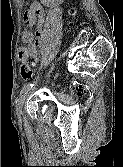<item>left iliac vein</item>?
I'll use <instances>...</instances> for the list:
<instances>
[{
    "label": "left iliac vein",
    "mask_w": 123,
    "mask_h": 167,
    "mask_svg": "<svg viewBox=\"0 0 123 167\" xmlns=\"http://www.w3.org/2000/svg\"><path fill=\"white\" fill-rule=\"evenodd\" d=\"M27 96H28V93L24 94L23 96H21L18 99V101L16 103V112H17V115L19 118H21V116H22V109H23V106L26 102Z\"/></svg>",
    "instance_id": "1"
}]
</instances>
